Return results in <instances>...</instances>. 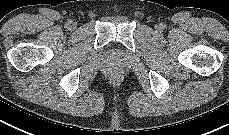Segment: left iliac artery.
I'll list each match as a JSON object with an SVG mask.
<instances>
[{
  "mask_svg": "<svg viewBox=\"0 0 229 135\" xmlns=\"http://www.w3.org/2000/svg\"><path fill=\"white\" fill-rule=\"evenodd\" d=\"M161 27H162V29H164L166 27V25L165 24H162Z\"/></svg>",
  "mask_w": 229,
  "mask_h": 135,
  "instance_id": "1",
  "label": "left iliac artery"
}]
</instances>
